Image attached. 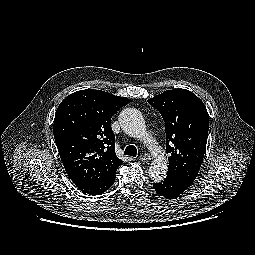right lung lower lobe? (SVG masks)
Returning <instances> with one entry per match:
<instances>
[{"mask_svg": "<svg viewBox=\"0 0 255 255\" xmlns=\"http://www.w3.org/2000/svg\"><path fill=\"white\" fill-rule=\"evenodd\" d=\"M115 176L105 180L102 183H95L90 185L77 186L79 190L89 195L101 194L108 190L110 186L114 183Z\"/></svg>", "mask_w": 255, "mask_h": 255, "instance_id": "1", "label": "right lung lower lobe"}]
</instances>
